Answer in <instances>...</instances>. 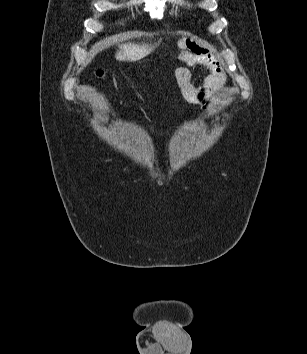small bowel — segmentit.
Listing matches in <instances>:
<instances>
[{
  "mask_svg": "<svg viewBox=\"0 0 307 354\" xmlns=\"http://www.w3.org/2000/svg\"><path fill=\"white\" fill-rule=\"evenodd\" d=\"M179 60L182 66L175 69L174 75L183 97L192 103L199 101L202 96L216 83L224 78L219 60L210 50L195 41L184 40L179 45ZM200 66L209 71L201 86L193 82L190 67Z\"/></svg>",
  "mask_w": 307,
  "mask_h": 354,
  "instance_id": "obj_1",
  "label": "small bowel"
}]
</instances>
